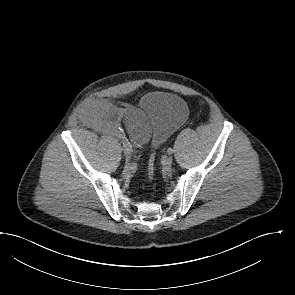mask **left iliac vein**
<instances>
[{
  "label": "left iliac vein",
  "instance_id": "left-iliac-vein-1",
  "mask_svg": "<svg viewBox=\"0 0 295 295\" xmlns=\"http://www.w3.org/2000/svg\"><path fill=\"white\" fill-rule=\"evenodd\" d=\"M173 163V159L171 157H167L164 162V166L167 169H170Z\"/></svg>",
  "mask_w": 295,
  "mask_h": 295
}]
</instances>
